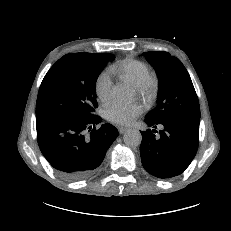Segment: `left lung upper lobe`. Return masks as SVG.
<instances>
[{
	"mask_svg": "<svg viewBox=\"0 0 231 231\" xmlns=\"http://www.w3.org/2000/svg\"><path fill=\"white\" fill-rule=\"evenodd\" d=\"M143 56L154 67L160 82L157 107L146 115L154 122L200 117V106L191 78L181 61L168 52H145Z\"/></svg>",
	"mask_w": 231,
	"mask_h": 231,
	"instance_id": "obj_1",
	"label": "left lung upper lobe"
}]
</instances>
